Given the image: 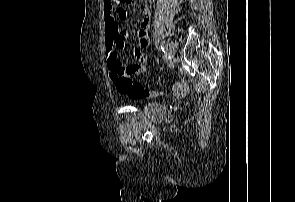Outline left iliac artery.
Listing matches in <instances>:
<instances>
[{
  "mask_svg": "<svg viewBox=\"0 0 295 202\" xmlns=\"http://www.w3.org/2000/svg\"><path fill=\"white\" fill-rule=\"evenodd\" d=\"M161 50L163 52H165L167 50L166 43L164 41L161 43Z\"/></svg>",
  "mask_w": 295,
  "mask_h": 202,
  "instance_id": "obj_1",
  "label": "left iliac artery"
}]
</instances>
